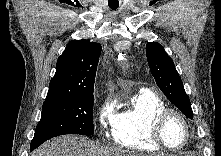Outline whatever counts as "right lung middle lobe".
<instances>
[{"mask_svg": "<svg viewBox=\"0 0 221 156\" xmlns=\"http://www.w3.org/2000/svg\"><path fill=\"white\" fill-rule=\"evenodd\" d=\"M93 91L72 97L46 99L30 149L63 134H94Z\"/></svg>", "mask_w": 221, "mask_h": 156, "instance_id": "dd1d6c3e", "label": "right lung middle lobe"}]
</instances>
